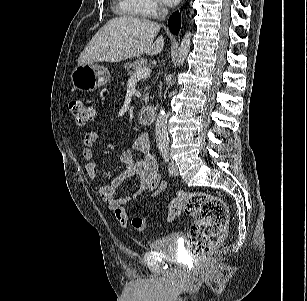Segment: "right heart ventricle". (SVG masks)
<instances>
[{
	"label": "right heart ventricle",
	"instance_id": "right-heart-ventricle-1",
	"mask_svg": "<svg viewBox=\"0 0 307 301\" xmlns=\"http://www.w3.org/2000/svg\"><path fill=\"white\" fill-rule=\"evenodd\" d=\"M116 8L124 15L141 18L140 0H116Z\"/></svg>",
	"mask_w": 307,
	"mask_h": 301
}]
</instances>
